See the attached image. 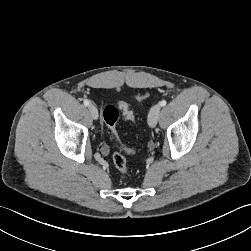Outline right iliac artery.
<instances>
[{
  "label": "right iliac artery",
  "mask_w": 251,
  "mask_h": 251,
  "mask_svg": "<svg viewBox=\"0 0 251 251\" xmlns=\"http://www.w3.org/2000/svg\"><path fill=\"white\" fill-rule=\"evenodd\" d=\"M83 104H84L85 106H89V105H90V102H89L88 100H84Z\"/></svg>",
  "instance_id": "obj_1"
}]
</instances>
